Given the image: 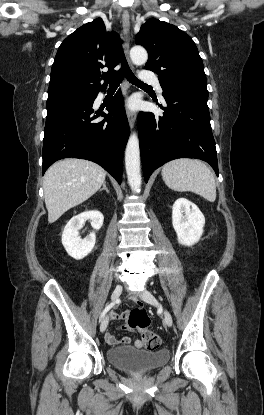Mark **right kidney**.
I'll return each instance as SVG.
<instances>
[{
  "mask_svg": "<svg viewBox=\"0 0 264 415\" xmlns=\"http://www.w3.org/2000/svg\"><path fill=\"white\" fill-rule=\"evenodd\" d=\"M86 220H90L93 229L98 231L103 225L104 217L97 210L78 214L69 220L62 234V244L65 250L69 256L76 260L86 257L92 251L96 242L95 231L91 232L84 239H81L79 236V230L83 227Z\"/></svg>",
  "mask_w": 264,
  "mask_h": 415,
  "instance_id": "1",
  "label": "right kidney"
}]
</instances>
